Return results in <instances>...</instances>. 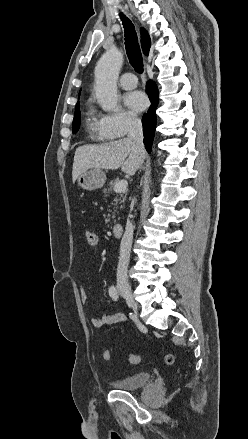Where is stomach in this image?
<instances>
[{
    "instance_id": "obj_1",
    "label": "stomach",
    "mask_w": 248,
    "mask_h": 439,
    "mask_svg": "<svg viewBox=\"0 0 248 439\" xmlns=\"http://www.w3.org/2000/svg\"><path fill=\"white\" fill-rule=\"evenodd\" d=\"M77 181L82 189L92 191L103 187L106 182V174L102 170L93 169L79 175Z\"/></svg>"
}]
</instances>
